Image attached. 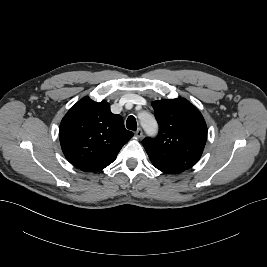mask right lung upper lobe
<instances>
[{
	"mask_svg": "<svg viewBox=\"0 0 267 267\" xmlns=\"http://www.w3.org/2000/svg\"><path fill=\"white\" fill-rule=\"evenodd\" d=\"M132 136L122 117L110 111L108 102L98 103L89 97L82 98L67 112L59 128L65 157L86 172H98L111 164Z\"/></svg>",
	"mask_w": 267,
	"mask_h": 267,
	"instance_id": "cb5924a9",
	"label": "right lung upper lobe"
}]
</instances>
